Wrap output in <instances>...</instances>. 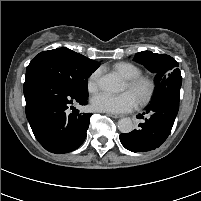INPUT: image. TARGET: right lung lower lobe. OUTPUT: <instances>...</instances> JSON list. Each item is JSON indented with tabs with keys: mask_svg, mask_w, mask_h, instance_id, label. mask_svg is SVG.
<instances>
[{
	"mask_svg": "<svg viewBox=\"0 0 201 201\" xmlns=\"http://www.w3.org/2000/svg\"><path fill=\"white\" fill-rule=\"evenodd\" d=\"M26 117L39 143L49 152L63 154L77 149L85 140L90 114L68 108L86 105L87 99L72 95L59 82L44 76L26 77ZM73 108V106H71Z\"/></svg>",
	"mask_w": 201,
	"mask_h": 201,
	"instance_id": "right-lung-lower-lobe-1",
	"label": "right lung lower lobe"
}]
</instances>
